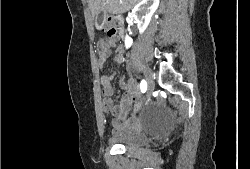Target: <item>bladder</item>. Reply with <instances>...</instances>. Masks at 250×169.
<instances>
[{
    "mask_svg": "<svg viewBox=\"0 0 250 169\" xmlns=\"http://www.w3.org/2000/svg\"><path fill=\"white\" fill-rule=\"evenodd\" d=\"M107 141L114 146L124 148H146L150 146L149 134L145 133H115V136H107Z\"/></svg>",
    "mask_w": 250,
    "mask_h": 169,
    "instance_id": "1",
    "label": "bladder"
}]
</instances>
